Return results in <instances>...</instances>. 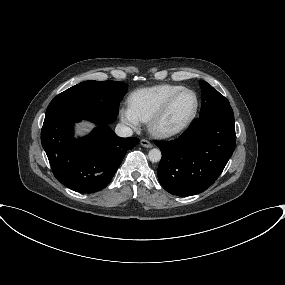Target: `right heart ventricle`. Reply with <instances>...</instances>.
<instances>
[{
	"mask_svg": "<svg viewBox=\"0 0 285 285\" xmlns=\"http://www.w3.org/2000/svg\"><path fill=\"white\" fill-rule=\"evenodd\" d=\"M182 89L171 84L141 88L130 95L129 106L140 121L147 122L169 97Z\"/></svg>",
	"mask_w": 285,
	"mask_h": 285,
	"instance_id": "1",
	"label": "right heart ventricle"
}]
</instances>
